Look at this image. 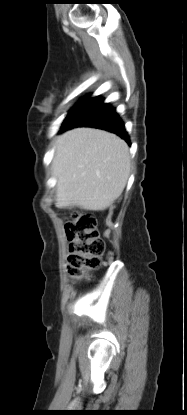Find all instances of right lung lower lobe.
I'll list each match as a JSON object with an SVG mask.
<instances>
[{
    "instance_id": "right-lung-lower-lobe-1",
    "label": "right lung lower lobe",
    "mask_w": 187,
    "mask_h": 415,
    "mask_svg": "<svg viewBox=\"0 0 187 415\" xmlns=\"http://www.w3.org/2000/svg\"><path fill=\"white\" fill-rule=\"evenodd\" d=\"M88 97L83 98L71 109L62 124L61 131L75 127L99 128L117 134L130 145L124 123L115 108L104 103V99L100 96Z\"/></svg>"
}]
</instances>
